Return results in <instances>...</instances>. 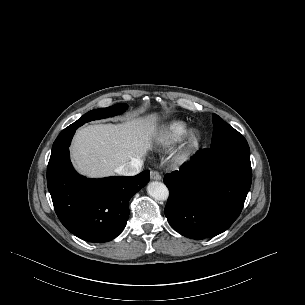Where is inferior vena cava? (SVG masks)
Segmentation results:
<instances>
[{"label": "inferior vena cava", "mask_w": 305, "mask_h": 305, "mask_svg": "<svg viewBox=\"0 0 305 305\" xmlns=\"http://www.w3.org/2000/svg\"><path fill=\"white\" fill-rule=\"evenodd\" d=\"M143 166L141 159H132L130 162L118 166L115 172L123 176H134L138 174Z\"/></svg>", "instance_id": "obj_1"}]
</instances>
